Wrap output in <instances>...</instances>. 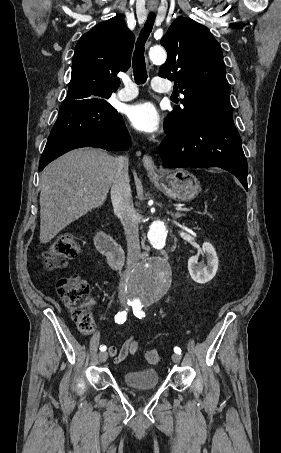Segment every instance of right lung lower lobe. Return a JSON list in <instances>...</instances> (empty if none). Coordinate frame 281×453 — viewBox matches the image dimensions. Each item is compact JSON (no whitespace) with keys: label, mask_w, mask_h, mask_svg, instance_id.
Returning a JSON list of instances; mask_svg holds the SVG:
<instances>
[{"label":"right lung lower lobe","mask_w":281,"mask_h":453,"mask_svg":"<svg viewBox=\"0 0 281 453\" xmlns=\"http://www.w3.org/2000/svg\"><path fill=\"white\" fill-rule=\"evenodd\" d=\"M130 137L122 116L105 100H64L39 162L42 171L62 154L80 147L127 149Z\"/></svg>","instance_id":"98d812e1"}]
</instances>
